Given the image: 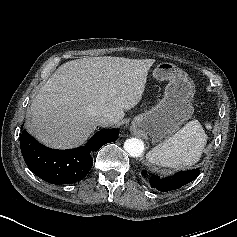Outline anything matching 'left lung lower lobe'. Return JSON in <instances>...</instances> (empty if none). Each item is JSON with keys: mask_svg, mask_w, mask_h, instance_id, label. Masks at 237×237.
I'll use <instances>...</instances> for the list:
<instances>
[{"mask_svg": "<svg viewBox=\"0 0 237 237\" xmlns=\"http://www.w3.org/2000/svg\"><path fill=\"white\" fill-rule=\"evenodd\" d=\"M200 173L199 169H192L188 171H180L170 177L160 178L159 176H152L150 178V185L158 191L167 192L179 189L186 184L192 182ZM146 175V171L142 172Z\"/></svg>", "mask_w": 237, "mask_h": 237, "instance_id": "obj_1", "label": "left lung lower lobe"}]
</instances>
